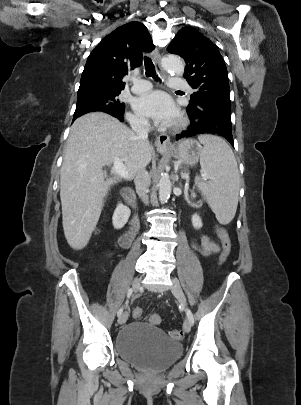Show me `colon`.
<instances>
[{"label":"colon","instance_id":"obj_1","mask_svg":"<svg viewBox=\"0 0 301 405\" xmlns=\"http://www.w3.org/2000/svg\"><path fill=\"white\" fill-rule=\"evenodd\" d=\"M215 231H216V234H217L219 240L221 241L222 249H221V254L219 257V265H222L225 263V261L228 259L229 255L231 253V248H232L231 240H230V237H229L228 233L226 232V230L223 229L222 227L216 226ZM133 316L136 319H141L144 317V312L141 308H135L133 310ZM147 320L149 323H151L153 325H158L161 322V317L157 313H151L147 316ZM170 336L175 340H181L183 337V334L179 330H172L170 332Z\"/></svg>","mask_w":301,"mask_h":405}]
</instances>
